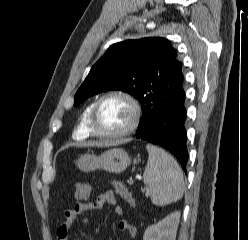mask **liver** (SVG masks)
Here are the masks:
<instances>
[{
    "mask_svg": "<svg viewBox=\"0 0 248 240\" xmlns=\"http://www.w3.org/2000/svg\"><path fill=\"white\" fill-rule=\"evenodd\" d=\"M89 145H100V143H91V144H89Z\"/></svg>",
    "mask_w": 248,
    "mask_h": 240,
    "instance_id": "obj_1",
    "label": "liver"
}]
</instances>
